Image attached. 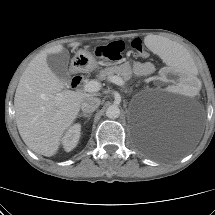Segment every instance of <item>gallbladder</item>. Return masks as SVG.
<instances>
[{"mask_svg": "<svg viewBox=\"0 0 215 215\" xmlns=\"http://www.w3.org/2000/svg\"><path fill=\"white\" fill-rule=\"evenodd\" d=\"M68 63L69 52L67 50L47 55V64L49 68L65 85L69 84L71 81Z\"/></svg>", "mask_w": 215, "mask_h": 215, "instance_id": "1", "label": "gallbladder"}]
</instances>
